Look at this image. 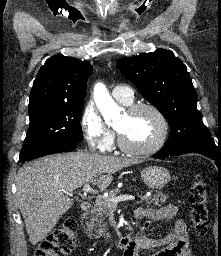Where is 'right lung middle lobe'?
<instances>
[{"mask_svg":"<svg viewBox=\"0 0 221 256\" xmlns=\"http://www.w3.org/2000/svg\"><path fill=\"white\" fill-rule=\"evenodd\" d=\"M83 106L84 102H81L29 110L30 125L20 157L56 142H81L83 132L80 119Z\"/></svg>","mask_w":221,"mask_h":256,"instance_id":"obj_1","label":"right lung middle lobe"}]
</instances>
